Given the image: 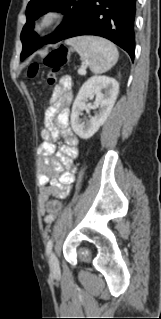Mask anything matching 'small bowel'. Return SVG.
Instances as JSON below:
<instances>
[{
    "label": "small bowel",
    "instance_id": "small-bowel-1",
    "mask_svg": "<svg viewBox=\"0 0 161 319\" xmlns=\"http://www.w3.org/2000/svg\"><path fill=\"white\" fill-rule=\"evenodd\" d=\"M72 101L70 82L63 77L50 98V105L44 113V126L41 130L43 142L39 145L41 155L40 199L41 208L45 209V199L53 195L58 199L65 198L70 192V185L74 181L77 171L75 164L70 159L78 156V138L69 128L68 106ZM56 118V121L54 119ZM62 136L65 144L54 156L56 147L54 142ZM55 215L48 212L44 216L46 224L52 223Z\"/></svg>",
    "mask_w": 161,
    "mask_h": 319
}]
</instances>
